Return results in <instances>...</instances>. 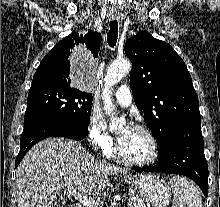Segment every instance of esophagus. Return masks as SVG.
I'll list each match as a JSON object with an SVG mask.
<instances>
[{"label":"esophagus","mask_w":220,"mask_h":207,"mask_svg":"<svg viewBox=\"0 0 220 207\" xmlns=\"http://www.w3.org/2000/svg\"><path fill=\"white\" fill-rule=\"evenodd\" d=\"M116 18H118V16L116 14L111 15V19H116Z\"/></svg>","instance_id":"1"}]
</instances>
